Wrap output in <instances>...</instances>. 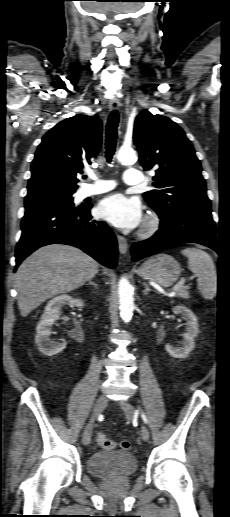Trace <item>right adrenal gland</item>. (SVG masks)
<instances>
[{
    "mask_svg": "<svg viewBox=\"0 0 230 517\" xmlns=\"http://www.w3.org/2000/svg\"><path fill=\"white\" fill-rule=\"evenodd\" d=\"M86 285H93L96 289H98V285L93 282V279L89 280L88 284Z\"/></svg>",
    "mask_w": 230,
    "mask_h": 517,
    "instance_id": "right-adrenal-gland-1",
    "label": "right adrenal gland"
}]
</instances>
